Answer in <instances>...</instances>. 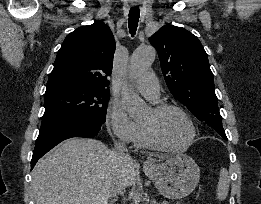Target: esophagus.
I'll list each match as a JSON object with an SVG mask.
<instances>
[{
	"mask_svg": "<svg viewBox=\"0 0 261 204\" xmlns=\"http://www.w3.org/2000/svg\"><path fill=\"white\" fill-rule=\"evenodd\" d=\"M152 166V162L151 161H145L144 162V167H150Z\"/></svg>",
	"mask_w": 261,
	"mask_h": 204,
	"instance_id": "1",
	"label": "esophagus"
}]
</instances>
